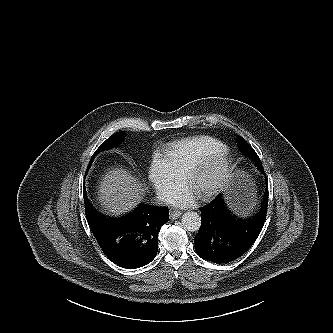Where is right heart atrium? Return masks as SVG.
<instances>
[{
    "mask_svg": "<svg viewBox=\"0 0 333 333\" xmlns=\"http://www.w3.org/2000/svg\"><path fill=\"white\" fill-rule=\"evenodd\" d=\"M147 179L157 196L165 200L182 184V179L175 175L161 156H154L149 164Z\"/></svg>",
    "mask_w": 333,
    "mask_h": 333,
    "instance_id": "right-heart-atrium-1",
    "label": "right heart atrium"
}]
</instances>
